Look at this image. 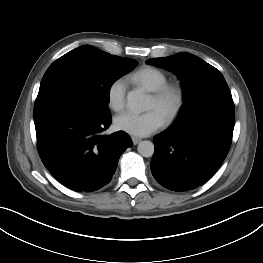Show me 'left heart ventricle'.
Returning <instances> with one entry per match:
<instances>
[{"instance_id": "obj_1", "label": "left heart ventricle", "mask_w": 263, "mask_h": 263, "mask_svg": "<svg viewBox=\"0 0 263 263\" xmlns=\"http://www.w3.org/2000/svg\"><path fill=\"white\" fill-rule=\"evenodd\" d=\"M148 108L149 109H156L163 115L162 109L156 104L155 100L152 97L150 98Z\"/></svg>"}]
</instances>
